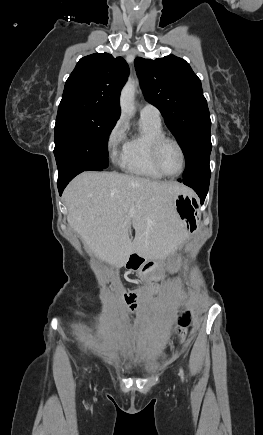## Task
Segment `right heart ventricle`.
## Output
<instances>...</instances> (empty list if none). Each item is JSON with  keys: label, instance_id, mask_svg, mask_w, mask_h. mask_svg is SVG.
Returning a JSON list of instances; mask_svg holds the SVG:
<instances>
[{"label": "right heart ventricle", "instance_id": "e07e8e85", "mask_svg": "<svg viewBox=\"0 0 263 435\" xmlns=\"http://www.w3.org/2000/svg\"><path fill=\"white\" fill-rule=\"evenodd\" d=\"M164 135L161 121L140 118V130L129 137L122 149L120 165L126 172L148 179H161L151 160L153 142Z\"/></svg>", "mask_w": 263, "mask_h": 435}]
</instances>
